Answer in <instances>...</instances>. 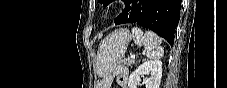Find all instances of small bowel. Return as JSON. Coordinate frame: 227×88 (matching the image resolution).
Returning <instances> with one entry per match:
<instances>
[{
    "mask_svg": "<svg viewBox=\"0 0 227 88\" xmlns=\"http://www.w3.org/2000/svg\"><path fill=\"white\" fill-rule=\"evenodd\" d=\"M115 75L117 76V82L120 87L127 88L128 87V80H129V71L123 65H117L115 67ZM112 83V76L109 75L104 78L101 82L103 88H109Z\"/></svg>",
    "mask_w": 227,
    "mask_h": 88,
    "instance_id": "c3829d8e",
    "label": "small bowel"
}]
</instances>
